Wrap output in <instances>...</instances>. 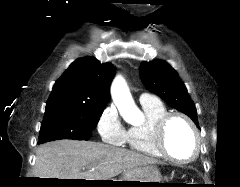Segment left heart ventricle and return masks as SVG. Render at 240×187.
Returning <instances> with one entry per match:
<instances>
[{
	"label": "left heart ventricle",
	"instance_id": "obj_1",
	"mask_svg": "<svg viewBox=\"0 0 240 187\" xmlns=\"http://www.w3.org/2000/svg\"><path fill=\"white\" fill-rule=\"evenodd\" d=\"M166 147L180 160L190 158L194 153V137L189 126L179 118L173 119L166 132Z\"/></svg>",
	"mask_w": 240,
	"mask_h": 187
}]
</instances>
